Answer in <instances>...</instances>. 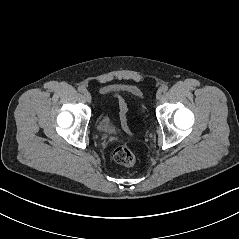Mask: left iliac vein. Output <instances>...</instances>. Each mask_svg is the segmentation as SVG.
Instances as JSON below:
<instances>
[{
    "mask_svg": "<svg viewBox=\"0 0 239 239\" xmlns=\"http://www.w3.org/2000/svg\"><path fill=\"white\" fill-rule=\"evenodd\" d=\"M161 95H162L161 90L157 91V93H156V98H157V99H160V98H161Z\"/></svg>",
    "mask_w": 239,
    "mask_h": 239,
    "instance_id": "obj_1",
    "label": "left iliac vein"
}]
</instances>
